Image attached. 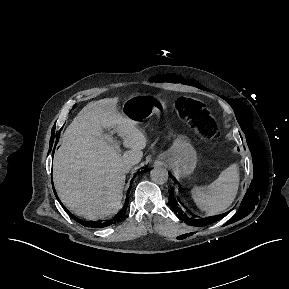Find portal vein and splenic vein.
<instances>
[{"label": "portal vein and splenic vein", "mask_w": 289, "mask_h": 289, "mask_svg": "<svg viewBox=\"0 0 289 289\" xmlns=\"http://www.w3.org/2000/svg\"><path fill=\"white\" fill-rule=\"evenodd\" d=\"M113 144H114L115 149H116L117 151H119V150H120L119 144L116 143L115 141H113Z\"/></svg>", "instance_id": "portal-vein-and-splenic-vein-1"}]
</instances>
